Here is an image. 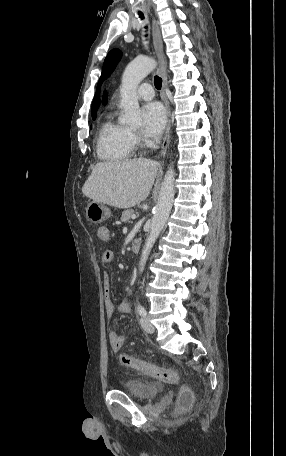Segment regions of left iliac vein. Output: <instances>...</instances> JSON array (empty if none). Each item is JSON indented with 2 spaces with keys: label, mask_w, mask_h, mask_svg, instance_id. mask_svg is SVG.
I'll list each match as a JSON object with an SVG mask.
<instances>
[{
  "label": "left iliac vein",
  "mask_w": 286,
  "mask_h": 456,
  "mask_svg": "<svg viewBox=\"0 0 286 456\" xmlns=\"http://www.w3.org/2000/svg\"><path fill=\"white\" fill-rule=\"evenodd\" d=\"M141 327L143 330L147 333H154L155 328L154 326L150 323L149 319L147 317H142L140 320Z\"/></svg>",
  "instance_id": "left-iliac-vein-1"
}]
</instances>
